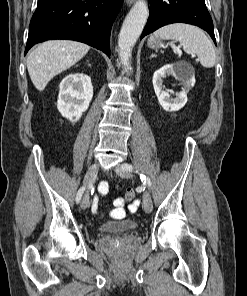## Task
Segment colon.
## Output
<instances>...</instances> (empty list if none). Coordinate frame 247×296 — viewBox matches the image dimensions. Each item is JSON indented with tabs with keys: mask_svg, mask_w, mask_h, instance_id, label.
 Returning a JSON list of instances; mask_svg holds the SVG:
<instances>
[{
	"mask_svg": "<svg viewBox=\"0 0 247 296\" xmlns=\"http://www.w3.org/2000/svg\"><path fill=\"white\" fill-rule=\"evenodd\" d=\"M135 197V192L133 189H128L127 192L125 193L124 197L121 199L116 200V204L118 205H124L125 202L132 201ZM123 215V212L118 211L114 214L115 218L121 217Z\"/></svg>",
	"mask_w": 247,
	"mask_h": 296,
	"instance_id": "obj_1",
	"label": "colon"
}]
</instances>
